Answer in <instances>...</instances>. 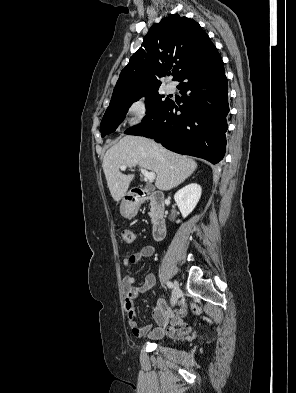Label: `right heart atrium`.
Instances as JSON below:
<instances>
[{
	"label": "right heart atrium",
	"mask_w": 296,
	"mask_h": 393,
	"mask_svg": "<svg viewBox=\"0 0 296 393\" xmlns=\"http://www.w3.org/2000/svg\"><path fill=\"white\" fill-rule=\"evenodd\" d=\"M149 114V105L144 99L133 101L127 109L128 122L130 125H137L144 121Z\"/></svg>",
	"instance_id": "1"
}]
</instances>
